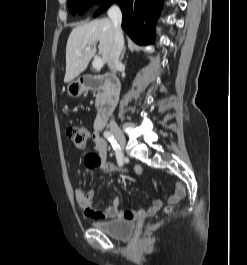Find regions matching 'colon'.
Masks as SVG:
<instances>
[{"label": "colon", "mask_w": 247, "mask_h": 265, "mask_svg": "<svg viewBox=\"0 0 247 265\" xmlns=\"http://www.w3.org/2000/svg\"><path fill=\"white\" fill-rule=\"evenodd\" d=\"M66 132L68 138L71 140L75 148L82 150L86 147L90 138V132L86 127L72 125L67 128ZM171 211V205L165 208L166 213H170Z\"/></svg>", "instance_id": "5ec220e1"}]
</instances>
